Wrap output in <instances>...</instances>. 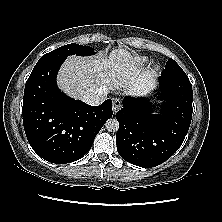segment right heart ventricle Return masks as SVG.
Wrapping results in <instances>:
<instances>
[{"label": "right heart ventricle", "mask_w": 222, "mask_h": 222, "mask_svg": "<svg viewBox=\"0 0 222 222\" xmlns=\"http://www.w3.org/2000/svg\"><path fill=\"white\" fill-rule=\"evenodd\" d=\"M147 63V59L146 58H141L138 60V65H145Z\"/></svg>", "instance_id": "1"}]
</instances>
